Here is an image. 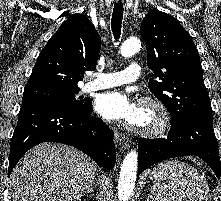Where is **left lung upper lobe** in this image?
<instances>
[{"label": "left lung upper lobe", "instance_id": "left-lung-upper-lobe-1", "mask_svg": "<svg viewBox=\"0 0 221 201\" xmlns=\"http://www.w3.org/2000/svg\"><path fill=\"white\" fill-rule=\"evenodd\" d=\"M140 34L157 79H150V90L170 112L171 124L198 114L212 116L198 51L179 21L154 10L144 17Z\"/></svg>", "mask_w": 221, "mask_h": 201}]
</instances>
